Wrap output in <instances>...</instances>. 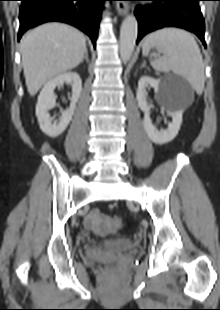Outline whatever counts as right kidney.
Instances as JSON below:
<instances>
[{
	"label": "right kidney",
	"mask_w": 220,
	"mask_h": 310,
	"mask_svg": "<svg viewBox=\"0 0 220 310\" xmlns=\"http://www.w3.org/2000/svg\"><path fill=\"white\" fill-rule=\"evenodd\" d=\"M64 83L72 86V95L70 97L71 103L67 110L61 112V117L59 118V121H57L50 117L48 111L55 105L56 96L54 89ZM81 91L82 81L79 74L76 72L59 74L50 79L44 85L38 96V102L36 105V116L42 132L50 137H57L65 131L72 120Z\"/></svg>",
	"instance_id": "obj_1"
}]
</instances>
